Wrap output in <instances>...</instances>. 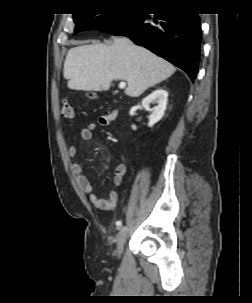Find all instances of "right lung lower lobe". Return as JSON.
I'll return each mask as SVG.
<instances>
[{
  "label": "right lung lower lobe",
  "instance_id": "1",
  "mask_svg": "<svg viewBox=\"0 0 252 303\" xmlns=\"http://www.w3.org/2000/svg\"><path fill=\"white\" fill-rule=\"evenodd\" d=\"M99 31L126 36L184 70L192 81L196 78L201 47L198 14L164 9L151 16L136 11Z\"/></svg>",
  "mask_w": 252,
  "mask_h": 303
}]
</instances>
